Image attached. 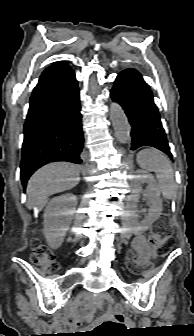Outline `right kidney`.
<instances>
[{"mask_svg":"<svg viewBox=\"0 0 194 336\" xmlns=\"http://www.w3.org/2000/svg\"><path fill=\"white\" fill-rule=\"evenodd\" d=\"M77 197L73 194L58 196L48 202L43 215V234L50 248L57 249L69 229Z\"/></svg>","mask_w":194,"mask_h":336,"instance_id":"1","label":"right kidney"}]
</instances>
